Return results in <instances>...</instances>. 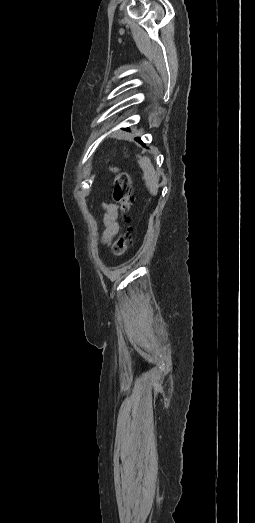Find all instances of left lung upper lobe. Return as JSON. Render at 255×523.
I'll use <instances>...</instances> for the list:
<instances>
[{
  "label": "left lung upper lobe",
  "instance_id": "1",
  "mask_svg": "<svg viewBox=\"0 0 255 523\" xmlns=\"http://www.w3.org/2000/svg\"><path fill=\"white\" fill-rule=\"evenodd\" d=\"M123 129L126 131H129V128H123ZM136 140H137V138H136ZM137 141H140V140H137Z\"/></svg>",
  "mask_w": 255,
  "mask_h": 523
}]
</instances>
